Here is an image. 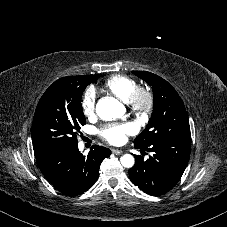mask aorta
<instances>
[{
	"mask_svg": "<svg viewBox=\"0 0 227 227\" xmlns=\"http://www.w3.org/2000/svg\"><path fill=\"white\" fill-rule=\"evenodd\" d=\"M125 111V107L118 100L110 97L100 99L96 105V113L103 120L121 118ZM120 161L125 168H131L134 165V157L131 154L123 155Z\"/></svg>",
	"mask_w": 227,
	"mask_h": 227,
	"instance_id": "762f6f07",
	"label": "aorta"
}]
</instances>
